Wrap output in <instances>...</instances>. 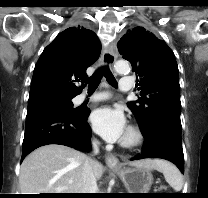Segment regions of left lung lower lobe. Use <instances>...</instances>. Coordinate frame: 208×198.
<instances>
[{
    "instance_id": "obj_1",
    "label": "left lung lower lobe",
    "mask_w": 208,
    "mask_h": 198,
    "mask_svg": "<svg viewBox=\"0 0 208 198\" xmlns=\"http://www.w3.org/2000/svg\"><path fill=\"white\" fill-rule=\"evenodd\" d=\"M145 144L142 154L132 158H162L174 163L184 173V155L181 130L169 123H158L150 132L143 135Z\"/></svg>"
}]
</instances>
